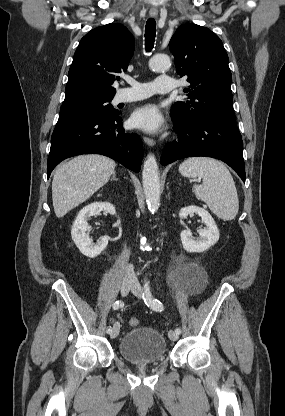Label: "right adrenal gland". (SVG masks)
Segmentation results:
<instances>
[{"label":"right adrenal gland","mask_w":285,"mask_h":416,"mask_svg":"<svg viewBox=\"0 0 285 416\" xmlns=\"http://www.w3.org/2000/svg\"><path fill=\"white\" fill-rule=\"evenodd\" d=\"M113 180H116V182H117L118 178H116V174H113V176L111 178V182H113Z\"/></svg>","instance_id":"1"}]
</instances>
